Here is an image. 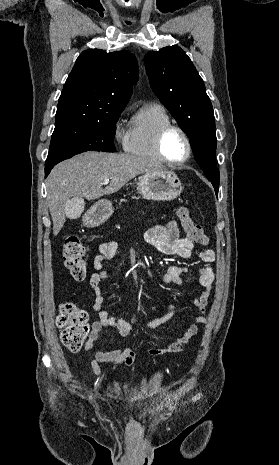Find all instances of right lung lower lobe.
<instances>
[{"instance_id":"right-lung-lower-lobe-1","label":"right lung lower lobe","mask_w":279,"mask_h":465,"mask_svg":"<svg viewBox=\"0 0 279 465\" xmlns=\"http://www.w3.org/2000/svg\"><path fill=\"white\" fill-rule=\"evenodd\" d=\"M53 166H54V165L45 167V177L50 173V171H51V169L53 168Z\"/></svg>"}]
</instances>
